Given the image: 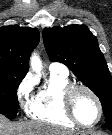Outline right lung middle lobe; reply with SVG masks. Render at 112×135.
<instances>
[{
  "label": "right lung middle lobe",
  "mask_w": 112,
  "mask_h": 135,
  "mask_svg": "<svg viewBox=\"0 0 112 135\" xmlns=\"http://www.w3.org/2000/svg\"><path fill=\"white\" fill-rule=\"evenodd\" d=\"M24 76L25 74L0 75V113L9 119L17 115V88Z\"/></svg>",
  "instance_id": "right-lung-middle-lobe-1"
}]
</instances>
